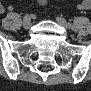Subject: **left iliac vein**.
Returning <instances> with one entry per match:
<instances>
[{
    "instance_id": "left-iliac-vein-1",
    "label": "left iliac vein",
    "mask_w": 91,
    "mask_h": 91,
    "mask_svg": "<svg viewBox=\"0 0 91 91\" xmlns=\"http://www.w3.org/2000/svg\"><path fill=\"white\" fill-rule=\"evenodd\" d=\"M56 21L57 23L65 27L66 29H69V27L67 26V22L63 17H60V16L56 17Z\"/></svg>"
}]
</instances>
